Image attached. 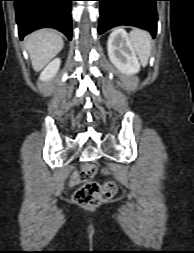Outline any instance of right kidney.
I'll return each instance as SVG.
<instances>
[{"label":"right kidney","mask_w":194,"mask_h":253,"mask_svg":"<svg viewBox=\"0 0 194 253\" xmlns=\"http://www.w3.org/2000/svg\"><path fill=\"white\" fill-rule=\"evenodd\" d=\"M61 60L59 58L54 59L50 62L40 75L41 81H49L52 79L59 70Z\"/></svg>","instance_id":"ca27d5eb"}]
</instances>
